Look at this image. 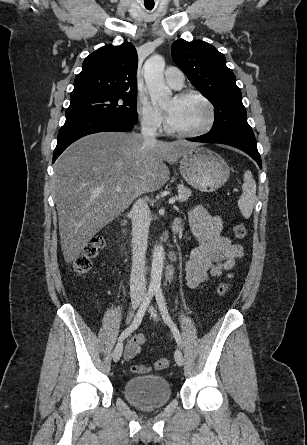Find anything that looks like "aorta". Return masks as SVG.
<instances>
[{"mask_svg":"<svg viewBox=\"0 0 307 445\" xmlns=\"http://www.w3.org/2000/svg\"><path fill=\"white\" fill-rule=\"evenodd\" d=\"M164 66L165 60L161 54H152L145 60L143 66L144 78L151 96V102L159 104V106H168V104L173 102L172 90L165 84ZM164 257L163 245L154 247L149 291H160L161 289Z\"/></svg>","mask_w":307,"mask_h":445,"instance_id":"aorta-1","label":"aorta"}]
</instances>
